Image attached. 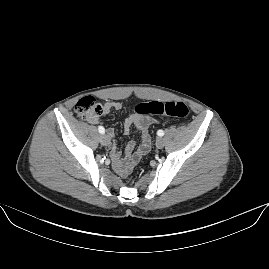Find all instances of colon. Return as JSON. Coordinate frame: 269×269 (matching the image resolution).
Wrapping results in <instances>:
<instances>
[{
    "instance_id": "5ec220e1",
    "label": "colon",
    "mask_w": 269,
    "mask_h": 269,
    "mask_svg": "<svg viewBox=\"0 0 269 269\" xmlns=\"http://www.w3.org/2000/svg\"><path fill=\"white\" fill-rule=\"evenodd\" d=\"M135 111L138 114H152L173 118H185L188 115V107L183 102L175 101H152L150 103H140L136 105ZM103 112L102 106L94 98L87 96L78 100L75 107V114L81 119L97 118ZM145 147L150 146V140H144ZM125 172L129 167H125Z\"/></svg>"
}]
</instances>
